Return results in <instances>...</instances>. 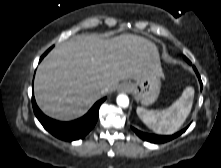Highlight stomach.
<instances>
[{
  "label": "stomach",
  "mask_w": 221,
  "mask_h": 168,
  "mask_svg": "<svg viewBox=\"0 0 221 168\" xmlns=\"http://www.w3.org/2000/svg\"><path fill=\"white\" fill-rule=\"evenodd\" d=\"M162 70L151 73L148 77L136 83H130L132 94L143 105H149L156 101L160 93Z\"/></svg>",
  "instance_id": "stomach-1"
}]
</instances>
